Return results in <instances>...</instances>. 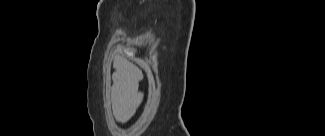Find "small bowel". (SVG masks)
<instances>
[{"label":"small bowel","instance_id":"1","mask_svg":"<svg viewBox=\"0 0 325 136\" xmlns=\"http://www.w3.org/2000/svg\"><path fill=\"white\" fill-rule=\"evenodd\" d=\"M141 77L123 61H117V73L112 102L116 118L126 122L141 103L143 94L139 90Z\"/></svg>","mask_w":325,"mask_h":136}]
</instances>
